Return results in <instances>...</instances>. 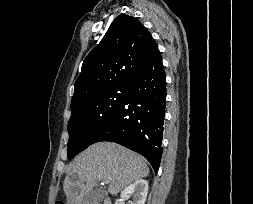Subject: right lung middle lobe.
<instances>
[{
  "mask_svg": "<svg viewBox=\"0 0 253 204\" xmlns=\"http://www.w3.org/2000/svg\"><path fill=\"white\" fill-rule=\"evenodd\" d=\"M128 85L104 90L71 107L68 123V159L94 143L123 103Z\"/></svg>",
  "mask_w": 253,
  "mask_h": 204,
  "instance_id": "dd1d6c3e",
  "label": "right lung middle lobe"
}]
</instances>
